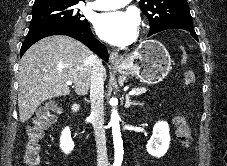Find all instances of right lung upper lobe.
Here are the masks:
<instances>
[{"instance_id": "right-lung-upper-lobe-1", "label": "right lung upper lobe", "mask_w": 227, "mask_h": 166, "mask_svg": "<svg viewBox=\"0 0 227 166\" xmlns=\"http://www.w3.org/2000/svg\"><path fill=\"white\" fill-rule=\"evenodd\" d=\"M80 0H35L34 5L48 3V2H57V3H75L78 4ZM85 1V0H81Z\"/></svg>"}]
</instances>
